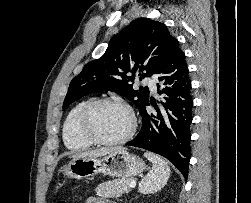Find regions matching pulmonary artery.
<instances>
[{
    "label": "pulmonary artery",
    "instance_id": "1",
    "mask_svg": "<svg viewBox=\"0 0 251 203\" xmlns=\"http://www.w3.org/2000/svg\"><path fill=\"white\" fill-rule=\"evenodd\" d=\"M144 84L148 85L153 92H156V82L154 77L147 76L144 78Z\"/></svg>",
    "mask_w": 251,
    "mask_h": 203
}]
</instances>
